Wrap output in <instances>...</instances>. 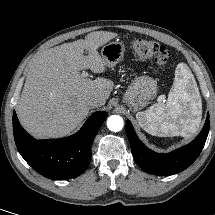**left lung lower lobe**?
<instances>
[{
	"label": "left lung lower lobe",
	"mask_w": 215,
	"mask_h": 215,
	"mask_svg": "<svg viewBox=\"0 0 215 215\" xmlns=\"http://www.w3.org/2000/svg\"><path fill=\"white\" fill-rule=\"evenodd\" d=\"M209 114L202 131L188 145L170 153L158 154L148 149L137 137L130 121H126V134L136 163L147 173L167 176L188 168L199 156L209 132Z\"/></svg>",
	"instance_id": "obj_1"
}]
</instances>
